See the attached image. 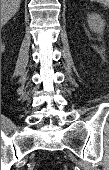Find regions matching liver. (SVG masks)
Wrapping results in <instances>:
<instances>
[{
  "instance_id": "obj_1",
  "label": "liver",
  "mask_w": 109,
  "mask_h": 170,
  "mask_svg": "<svg viewBox=\"0 0 109 170\" xmlns=\"http://www.w3.org/2000/svg\"><path fill=\"white\" fill-rule=\"evenodd\" d=\"M21 0H1V24L5 25L19 10Z\"/></svg>"
}]
</instances>
